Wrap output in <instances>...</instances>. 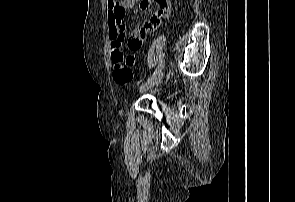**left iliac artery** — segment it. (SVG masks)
<instances>
[{
    "mask_svg": "<svg viewBox=\"0 0 295 202\" xmlns=\"http://www.w3.org/2000/svg\"><path fill=\"white\" fill-rule=\"evenodd\" d=\"M163 67H164V62L161 61V62L159 63V65L157 66L156 70L153 72V74L148 78V80H149V79H152V78L155 77L157 74H159V73L162 71Z\"/></svg>",
    "mask_w": 295,
    "mask_h": 202,
    "instance_id": "left-iliac-artery-1",
    "label": "left iliac artery"
}]
</instances>
